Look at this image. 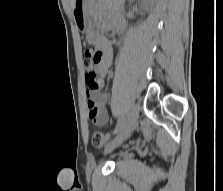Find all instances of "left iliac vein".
Returning <instances> with one entry per match:
<instances>
[{
    "label": "left iliac vein",
    "instance_id": "obj_1",
    "mask_svg": "<svg viewBox=\"0 0 223 191\" xmlns=\"http://www.w3.org/2000/svg\"><path fill=\"white\" fill-rule=\"evenodd\" d=\"M140 108L138 104H133L128 113L127 120L116 137L107 145L105 153L108 154L119 147L130 135L138 123Z\"/></svg>",
    "mask_w": 223,
    "mask_h": 191
}]
</instances>
